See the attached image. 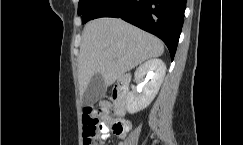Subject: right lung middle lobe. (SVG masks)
I'll list each match as a JSON object with an SVG mask.
<instances>
[{"mask_svg":"<svg viewBox=\"0 0 243 145\" xmlns=\"http://www.w3.org/2000/svg\"><path fill=\"white\" fill-rule=\"evenodd\" d=\"M94 0H79L78 15H82Z\"/></svg>","mask_w":243,"mask_h":145,"instance_id":"1","label":"right lung middle lobe"}]
</instances>
